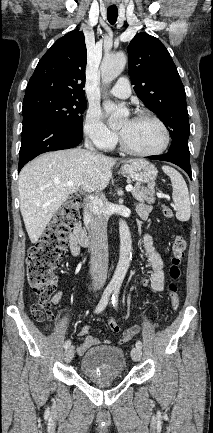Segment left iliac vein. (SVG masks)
<instances>
[{
	"label": "left iliac vein",
	"instance_id": "4c4485c4",
	"mask_svg": "<svg viewBox=\"0 0 213 433\" xmlns=\"http://www.w3.org/2000/svg\"><path fill=\"white\" fill-rule=\"evenodd\" d=\"M131 357H132V359H133L134 361H136V362L140 361V360H141V357H142V351H141V349L138 348V347H134V348L131 350Z\"/></svg>",
	"mask_w": 213,
	"mask_h": 433
}]
</instances>
